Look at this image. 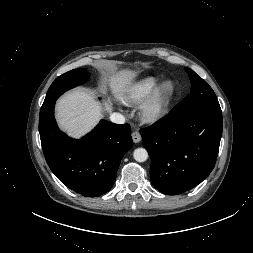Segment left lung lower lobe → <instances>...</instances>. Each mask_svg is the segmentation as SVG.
Wrapping results in <instances>:
<instances>
[{"mask_svg":"<svg viewBox=\"0 0 253 253\" xmlns=\"http://www.w3.org/2000/svg\"><path fill=\"white\" fill-rule=\"evenodd\" d=\"M151 157L154 187L167 195L186 192L214 168L222 136V112L172 113L140 130Z\"/></svg>","mask_w":253,"mask_h":253,"instance_id":"1","label":"left lung lower lobe"}]
</instances>
